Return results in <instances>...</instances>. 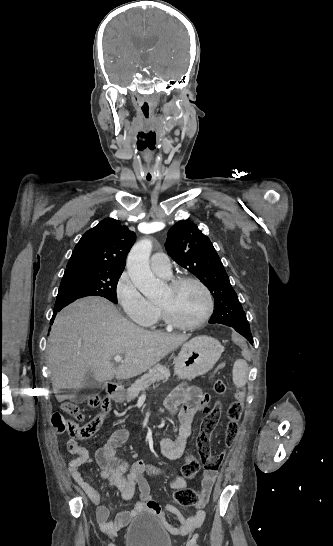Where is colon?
Returning a JSON list of instances; mask_svg holds the SVG:
<instances>
[{"instance_id": "colon-1", "label": "colon", "mask_w": 333, "mask_h": 546, "mask_svg": "<svg viewBox=\"0 0 333 546\" xmlns=\"http://www.w3.org/2000/svg\"><path fill=\"white\" fill-rule=\"evenodd\" d=\"M213 389L217 394H222L226 391V384L223 380L217 379L214 382ZM234 400L228 407V425L225 433V445L230 448L237 437L239 421L241 419L243 405L245 400V389L242 385L236 386ZM209 395L205 394L200 401V405L204 411V418L201 422L200 432L196 440V451L198 458L192 454H187L185 463L182 467V473L185 477L192 478L200 471L201 466L207 471H217L223 463V454L212 455L210 452V437L216 428L220 415L221 405L215 403L213 406H208ZM90 407H100L99 414L94 416L89 422L79 424L78 422L65 418L60 413H55L52 417V425L57 433H67L74 439L84 440L92 437L103 423L105 415L110 410V400L108 397L101 399L98 395H91L87 400ZM62 410L68 415L79 418L82 413L79 407L72 402H64ZM174 499L181 506H190L198 504L202 500L201 492L192 489H179L174 494Z\"/></svg>"}]
</instances>
